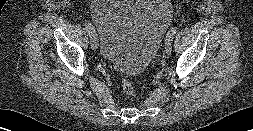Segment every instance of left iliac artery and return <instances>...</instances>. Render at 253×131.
I'll use <instances>...</instances> for the list:
<instances>
[{
  "instance_id": "44dca946",
  "label": "left iliac artery",
  "mask_w": 253,
  "mask_h": 131,
  "mask_svg": "<svg viewBox=\"0 0 253 131\" xmlns=\"http://www.w3.org/2000/svg\"><path fill=\"white\" fill-rule=\"evenodd\" d=\"M176 31H177V27H172V28L169 30V32H168V34H167L166 37H172V39H173V38H174V35L176 34Z\"/></svg>"
}]
</instances>
